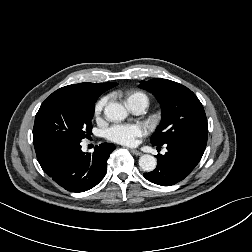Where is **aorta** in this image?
I'll use <instances>...</instances> for the list:
<instances>
[{
    "mask_svg": "<svg viewBox=\"0 0 252 252\" xmlns=\"http://www.w3.org/2000/svg\"><path fill=\"white\" fill-rule=\"evenodd\" d=\"M104 114L108 120L113 122L123 121L127 117V110L121 103L110 102L104 108ZM157 160L154 156L145 154L139 158V166L146 172L156 168Z\"/></svg>",
    "mask_w": 252,
    "mask_h": 252,
    "instance_id": "obj_1",
    "label": "aorta"
}]
</instances>
